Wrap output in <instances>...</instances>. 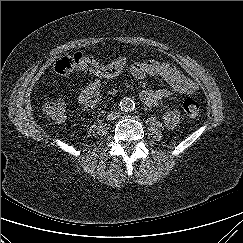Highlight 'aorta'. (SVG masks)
I'll use <instances>...</instances> for the list:
<instances>
[{"label":"aorta","mask_w":243,"mask_h":243,"mask_svg":"<svg viewBox=\"0 0 243 243\" xmlns=\"http://www.w3.org/2000/svg\"><path fill=\"white\" fill-rule=\"evenodd\" d=\"M120 109L124 112H131L135 108V103L131 98L125 97L120 101Z\"/></svg>","instance_id":"1"}]
</instances>
